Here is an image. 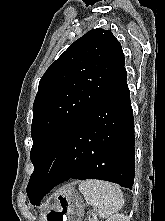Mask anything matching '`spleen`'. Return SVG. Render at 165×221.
I'll return each instance as SVG.
<instances>
[{
	"mask_svg": "<svg viewBox=\"0 0 165 221\" xmlns=\"http://www.w3.org/2000/svg\"><path fill=\"white\" fill-rule=\"evenodd\" d=\"M87 204L92 205L101 218H109L124 205V197L116 184L99 180H85L79 185Z\"/></svg>",
	"mask_w": 165,
	"mask_h": 221,
	"instance_id": "spleen-1",
	"label": "spleen"
}]
</instances>
